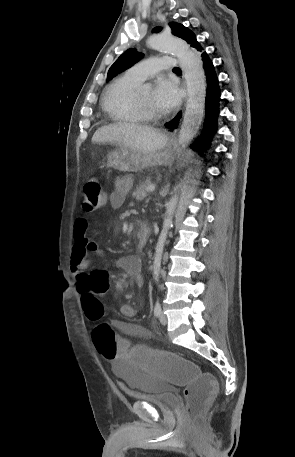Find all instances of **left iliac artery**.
I'll return each mask as SVG.
<instances>
[{
    "label": "left iliac artery",
    "instance_id": "44dca946",
    "mask_svg": "<svg viewBox=\"0 0 295 457\" xmlns=\"http://www.w3.org/2000/svg\"><path fill=\"white\" fill-rule=\"evenodd\" d=\"M161 313V306H160V303H159V300L156 301L155 303V307H154V315L156 317H158Z\"/></svg>",
    "mask_w": 295,
    "mask_h": 457
}]
</instances>
